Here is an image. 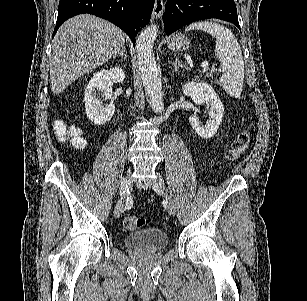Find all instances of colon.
<instances>
[{"label":"colon","mask_w":307,"mask_h":301,"mask_svg":"<svg viewBox=\"0 0 307 301\" xmlns=\"http://www.w3.org/2000/svg\"><path fill=\"white\" fill-rule=\"evenodd\" d=\"M55 132L61 141H69L75 147L85 145L80 130L77 127L69 126L62 121L55 123ZM250 137L246 133H241L232 143L230 149L226 153L228 161L237 160L248 148ZM145 218L138 215H129L125 218L124 226L127 230L133 231L142 228L145 225Z\"/></svg>","instance_id":"colon-1"}]
</instances>
